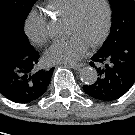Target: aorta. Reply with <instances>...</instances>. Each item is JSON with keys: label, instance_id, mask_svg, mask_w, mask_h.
Segmentation results:
<instances>
[{"label": "aorta", "instance_id": "obj_1", "mask_svg": "<svg viewBox=\"0 0 135 135\" xmlns=\"http://www.w3.org/2000/svg\"><path fill=\"white\" fill-rule=\"evenodd\" d=\"M50 33L53 36H61V31L58 28H50ZM80 78L85 84H94L98 78L97 71L90 66L83 67L80 71Z\"/></svg>", "mask_w": 135, "mask_h": 135}]
</instances>
